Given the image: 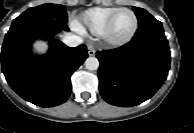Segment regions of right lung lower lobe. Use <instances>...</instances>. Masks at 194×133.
I'll list each match as a JSON object with an SVG mask.
<instances>
[{"label":"right lung lower lobe","instance_id":"obj_1","mask_svg":"<svg viewBox=\"0 0 194 133\" xmlns=\"http://www.w3.org/2000/svg\"><path fill=\"white\" fill-rule=\"evenodd\" d=\"M68 30L58 20H28L13 24L2 45V70L12 89L23 99L41 107L64 103L71 92L70 77L88 57L86 46L70 48L51 40L48 53L35 57L31 44Z\"/></svg>","mask_w":194,"mask_h":133}]
</instances>
